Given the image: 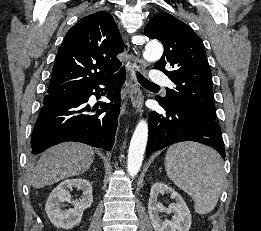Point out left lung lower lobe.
<instances>
[{"label": "left lung lower lobe", "mask_w": 261, "mask_h": 231, "mask_svg": "<svg viewBox=\"0 0 261 231\" xmlns=\"http://www.w3.org/2000/svg\"><path fill=\"white\" fill-rule=\"evenodd\" d=\"M166 113L153 111L149 118L146 156L171 144L195 141L213 147L225 157L222 133L217 121L182 104H166L156 98Z\"/></svg>", "instance_id": "obj_1"}]
</instances>
